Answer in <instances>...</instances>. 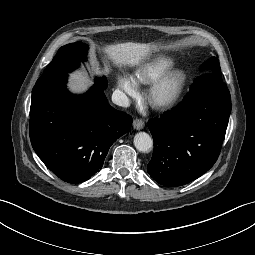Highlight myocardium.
<instances>
[{"label": "myocardium", "mask_w": 255, "mask_h": 255, "mask_svg": "<svg viewBox=\"0 0 255 255\" xmlns=\"http://www.w3.org/2000/svg\"><path fill=\"white\" fill-rule=\"evenodd\" d=\"M186 82L184 71L171 69L152 83L145 94V100L155 110H166L180 100Z\"/></svg>", "instance_id": "myocardium-1"}]
</instances>
